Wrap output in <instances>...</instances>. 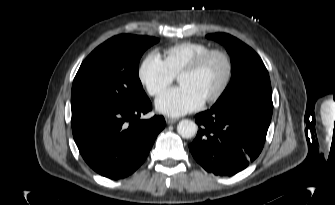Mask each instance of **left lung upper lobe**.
<instances>
[{"mask_svg":"<svg viewBox=\"0 0 335 205\" xmlns=\"http://www.w3.org/2000/svg\"><path fill=\"white\" fill-rule=\"evenodd\" d=\"M206 37L225 46L232 66L231 81L213 107L239 101L257 102L273 107L269 74L259 55L229 34L215 33Z\"/></svg>","mask_w":335,"mask_h":205,"instance_id":"5c2ea615","label":"left lung upper lobe"}]
</instances>
